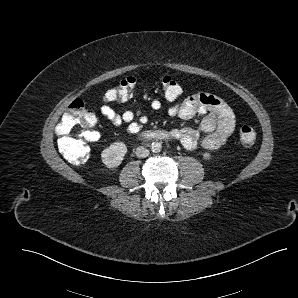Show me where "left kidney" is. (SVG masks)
<instances>
[{"instance_id": "left-kidney-1", "label": "left kidney", "mask_w": 298, "mask_h": 298, "mask_svg": "<svg viewBox=\"0 0 298 298\" xmlns=\"http://www.w3.org/2000/svg\"><path fill=\"white\" fill-rule=\"evenodd\" d=\"M203 158L205 159V160H209L210 158H211V155H210V153H204L203 154Z\"/></svg>"}]
</instances>
